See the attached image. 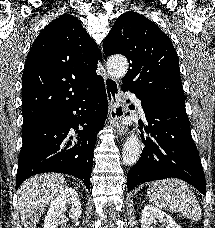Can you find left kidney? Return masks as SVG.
I'll return each instance as SVG.
<instances>
[{"instance_id": "obj_1", "label": "left kidney", "mask_w": 215, "mask_h": 228, "mask_svg": "<svg viewBox=\"0 0 215 228\" xmlns=\"http://www.w3.org/2000/svg\"><path fill=\"white\" fill-rule=\"evenodd\" d=\"M140 222L141 228H154V226H157V222H159L160 226H165V228H180L171 216H168L159 208L151 206V204L145 206Z\"/></svg>"}]
</instances>
